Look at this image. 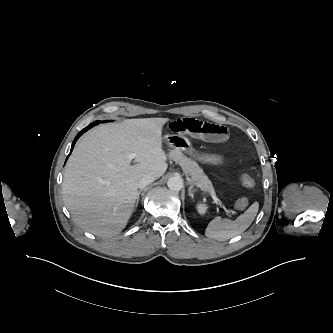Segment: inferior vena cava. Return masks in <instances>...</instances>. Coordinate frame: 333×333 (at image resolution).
Wrapping results in <instances>:
<instances>
[{"mask_svg": "<svg viewBox=\"0 0 333 333\" xmlns=\"http://www.w3.org/2000/svg\"><path fill=\"white\" fill-rule=\"evenodd\" d=\"M155 177L153 175H144L138 182V188L143 189L152 182H154Z\"/></svg>", "mask_w": 333, "mask_h": 333, "instance_id": "1", "label": "inferior vena cava"}]
</instances>
